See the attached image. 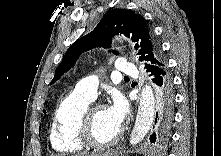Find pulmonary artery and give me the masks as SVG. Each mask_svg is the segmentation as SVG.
I'll list each match as a JSON object with an SVG mask.
<instances>
[{
	"label": "pulmonary artery",
	"mask_w": 221,
	"mask_h": 156,
	"mask_svg": "<svg viewBox=\"0 0 221 156\" xmlns=\"http://www.w3.org/2000/svg\"><path fill=\"white\" fill-rule=\"evenodd\" d=\"M115 70L124 75H133L136 72L135 66L122 58L116 61ZM98 84L99 79L97 76H88L77 83L76 90L93 100L97 95Z\"/></svg>",
	"instance_id": "1"
}]
</instances>
